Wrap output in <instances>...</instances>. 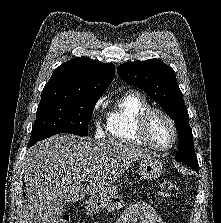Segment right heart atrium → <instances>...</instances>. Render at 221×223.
I'll return each instance as SVG.
<instances>
[{
    "label": "right heart atrium",
    "mask_w": 221,
    "mask_h": 223,
    "mask_svg": "<svg viewBox=\"0 0 221 223\" xmlns=\"http://www.w3.org/2000/svg\"><path fill=\"white\" fill-rule=\"evenodd\" d=\"M102 100H99L95 106H94V112L97 113L99 109L101 108ZM94 125H95V130L96 134H101L102 133V122L101 119L95 115L94 117Z\"/></svg>",
    "instance_id": "d8ad5b80"
}]
</instances>
